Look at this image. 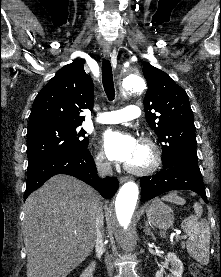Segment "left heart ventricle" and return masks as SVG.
I'll list each match as a JSON object with an SVG mask.
<instances>
[{
    "mask_svg": "<svg viewBox=\"0 0 221 277\" xmlns=\"http://www.w3.org/2000/svg\"><path fill=\"white\" fill-rule=\"evenodd\" d=\"M150 161V154L147 148L141 144H138L137 150L132 157V159L128 162V164L142 167L149 163Z\"/></svg>",
    "mask_w": 221,
    "mask_h": 277,
    "instance_id": "1",
    "label": "left heart ventricle"
}]
</instances>
